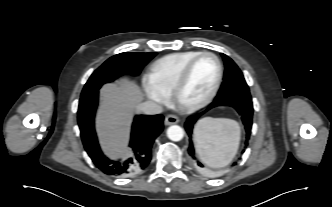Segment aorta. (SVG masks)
I'll return each mask as SVG.
<instances>
[{"instance_id": "aorta-1", "label": "aorta", "mask_w": 332, "mask_h": 207, "mask_svg": "<svg viewBox=\"0 0 332 207\" xmlns=\"http://www.w3.org/2000/svg\"><path fill=\"white\" fill-rule=\"evenodd\" d=\"M167 136L172 141H180L184 136V130L178 125H172L167 129Z\"/></svg>"}]
</instances>
